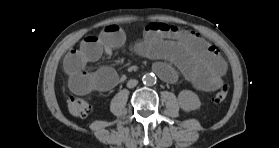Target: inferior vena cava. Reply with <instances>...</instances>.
I'll use <instances>...</instances> for the list:
<instances>
[{"instance_id":"1","label":"inferior vena cava","mask_w":279,"mask_h":148,"mask_svg":"<svg viewBox=\"0 0 279 148\" xmlns=\"http://www.w3.org/2000/svg\"><path fill=\"white\" fill-rule=\"evenodd\" d=\"M137 84H138V80H136V79H131V80L128 81L127 87H128V88H133V87H135Z\"/></svg>"}]
</instances>
